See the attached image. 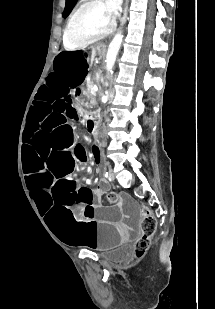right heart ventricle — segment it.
Instances as JSON below:
<instances>
[{"label": "right heart ventricle", "instance_id": "e07e8e85", "mask_svg": "<svg viewBox=\"0 0 215 309\" xmlns=\"http://www.w3.org/2000/svg\"><path fill=\"white\" fill-rule=\"evenodd\" d=\"M71 16V15H70ZM63 45L65 48H73L72 47V43L70 42V40L65 39V37L63 36Z\"/></svg>", "mask_w": 215, "mask_h": 309}]
</instances>
